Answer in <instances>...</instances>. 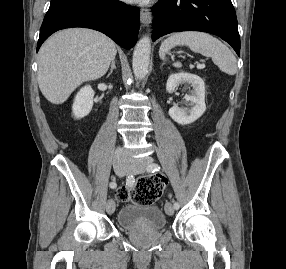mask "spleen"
<instances>
[{"label":"spleen","instance_id":"spleen-1","mask_svg":"<svg viewBox=\"0 0 286 269\" xmlns=\"http://www.w3.org/2000/svg\"><path fill=\"white\" fill-rule=\"evenodd\" d=\"M187 46L193 52L211 57L221 71L234 75L237 72V61L231 50L217 38L198 31H184L174 33L164 40L160 47V57L165 60L167 52L175 46ZM175 67H181L180 62L173 63Z\"/></svg>","mask_w":286,"mask_h":269}]
</instances>
